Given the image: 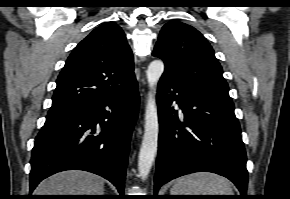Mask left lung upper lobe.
<instances>
[{"mask_svg":"<svg viewBox=\"0 0 290 199\" xmlns=\"http://www.w3.org/2000/svg\"><path fill=\"white\" fill-rule=\"evenodd\" d=\"M153 56L165 63L164 76L231 99L223 70L204 36L190 25L170 21L162 28Z\"/></svg>","mask_w":290,"mask_h":199,"instance_id":"1","label":"left lung upper lobe"}]
</instances>
